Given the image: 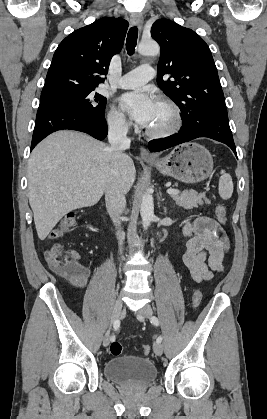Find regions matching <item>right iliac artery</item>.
I'll use <instances>...</instances> for the list:
<instances>
[{"label": "right iliac artery", "mask_w": 267, "mask_h": 419, "mask_svg": "<svg viewBox=\"0 0 267 419\" xmlns=\"http://www.w3.org/2000/svg\"><path fill=\"white\" fill-rule=\"evenodd\" d=\"M119 327H120V321H119V320H116V321L113 323V328H114V330H115V331H117ZM110 340H111V341L115 340V335H112V336L110 337Z\"/></svg>", "instance_id": "1"}]
</instances>
